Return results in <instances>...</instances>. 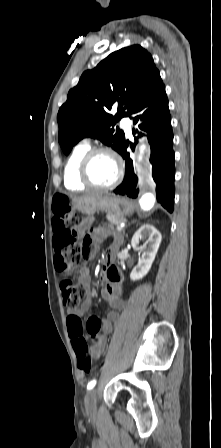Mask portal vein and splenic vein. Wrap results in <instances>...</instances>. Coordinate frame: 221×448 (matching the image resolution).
<instances>
[{"label":"portal vein and splenic vein","instance_id":"1","mask_svg":"<svg viewBox=\"0 0 221 448\" xmlns=\"http://www.w3.org/2000/svg\"><path fill=\"white\" fill-rule=\"evenodd\" d=\"M124 226H125V223H120V224L117 226V230H121L122 228H124Z\"/></svg>","mask_w":221,"mask_h":448}]
</instances>
